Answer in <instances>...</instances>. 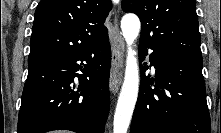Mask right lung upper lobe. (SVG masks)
Masks as SVG:
<instances>
[{
    "mask_svg": "<svg viewBox=\"0 0 221 133\" xmlns=\"http://www.w3.org/2000/svg\"><path fill=\"white\" fill-rule=\"evenodd\" d=\"M111 6L110 0H41L28 63L82 51L108 35L103 24Z\"/></svg>",
    "mask_w": 221,
    "mask_h": 133,
    "instance_id": "obj_1",
    "label": "right lung upper lobe"
}]
</instances>
